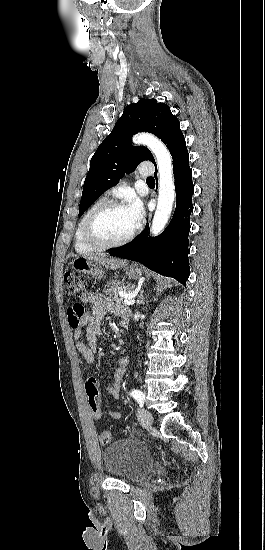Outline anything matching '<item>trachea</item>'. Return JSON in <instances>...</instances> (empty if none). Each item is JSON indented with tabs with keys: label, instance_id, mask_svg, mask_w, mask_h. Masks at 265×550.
I'll return each instance as SVG.
<instances>
[{
	"label": "trachea",
	"instance_id": "trachea-1",
	"mask_svg": "<svg viewBox=\"0 0 265 550\" xmlns=\"http://www.w3.org/2000/svg\"><path fill=\"white\" fill-rule=\"evenodd\" d=\"M147 183H152V182H155L154 178L153 177H148L147 180H146Z\"/></svg>",
	"mask_w": 265,
	"mask_h": 550
}]
</instances>
